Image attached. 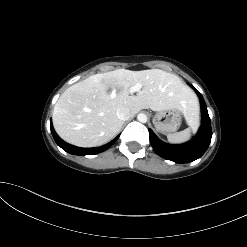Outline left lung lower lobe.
Masks as SVG:
<instances>
[{"label": "left lung lower lobe", "mask_w": 247, "mask_h": 247, "mask_svg": "<svg viewBox=\"0 0 247 247\" xmlns=\"http://www.w3.org/2000/svg\"><path fill=\"white\" fill-rule=\"evenodd\" d=\"M190 86L199 97L202 112V125L196 136L187 143L171 145L159 140L154 132L149 129L150 143L154 151L160 157L176 163H189L200 158L208 149L212 137L211 122L205 101L201 93L194 86Z\"/></svg>", "instance_id": "0a47b994"}]
</instances>
